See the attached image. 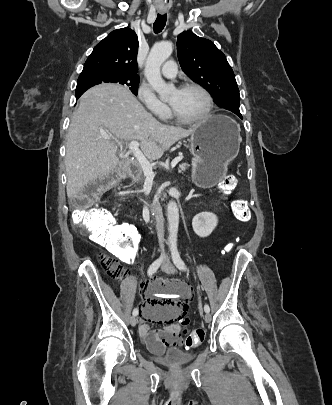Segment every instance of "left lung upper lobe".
I'll return each mask as SVG.
<instances>
[{
	"mask_svg": "<svg viewBox=\"0 0 332 405\" xmlns=\"http://www.w3.org/2000/svg\"><path fill=\"white\" fill-rule=\"evenodd\" d=\"M177 55L184 73L206 88L220 107L233 111L239 105L234 72L212 41L184 31L177 38Z\"/></svg>",
	"mask_w": 332,
	"mask_h": 405,
	"instance_id": "left-lung-upper-lobe-1",
	"label": "left lung upper lobe"
}]
</instances>
